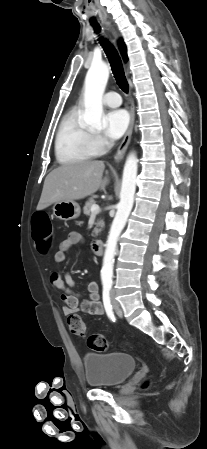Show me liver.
Returning a JSON list of instances; mask_svg holds the SVG:
<instances>
[{
    "instance_id": "1",
    "label": "liver",
    "mask_w": 207,
    "mask_h": 449,
    "mask_svg": "<svg viewBox=\"0 0 207 449\" xmlns=\"http://www.w3.org/2000/svg\"><path fill=\"white\" fill-rule=\"evenodd\" d=\"M104 169L103 161H81L54 169L44 181L37 210L56 202L80 200L103 189L109 181L102 179Z\"/></svg>"
}]
</instances>
